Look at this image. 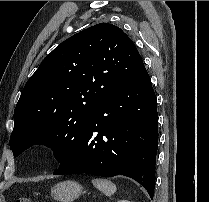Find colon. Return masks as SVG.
Wrapping results in <instances>:
<instances>
[{
  "mask_svg": "<svg viewBox=\"0 0 209 202\" xmlns=\"http://www.w3.org/2000/svg\"><path fill=\"white\" fill-rule=\"evenodd\" d=\"M14 202H32V201L30 199H28V198H19V199H17Z\"/></svg>",
  "mask_w": 209,
  "mask_h": 202,
  "instance_id": "colon-1",
  "label": "colon"
}]
</instances>
